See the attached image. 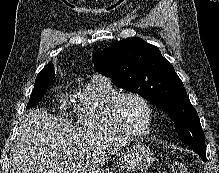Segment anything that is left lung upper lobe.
Returning <instances> with one entry per match:
<instances>
[{
    "instance_id": "1",
    "label": "left lung upper lobe",
    "mask_w": 219,
    "mask_h": 173,
    "mask_svg": "<svg viewBox=\"0 0 219 173\" xmlns=\"http://www.w3.org/2000/svg\"><path fill=\"white\" fill-rule=\"evenodd\" d=\"M96 70L114 83L141 95L165 111L181 140L194 151L206 152L200 119L173 66L160 50L139 37L114 41L93 55Z\"/></svg>"
}]
</instances>
